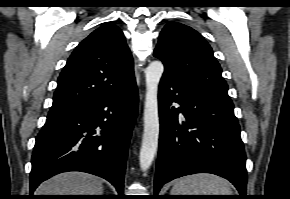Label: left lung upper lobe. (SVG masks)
Listing matches in <instances>:
<instances>
[{
    "instance_id": "left-lung-upper-lobe-1",
    "label": "left lung upper lobe",
    "mask_w": 290,
    "mask_h": 199,
    "mask_svg": "<svg viewBox=\"0 0 290 199\" xmlns=\"http://www.w3.org/2000/svg\"><path fill=\"white\" fill-rule=\"evenodd\" d=\"M154 56L162 60L165 75L229 97L228 86L210 45L191 27L168 23L160 33Z\"/></svg>"
}]
</instances>
